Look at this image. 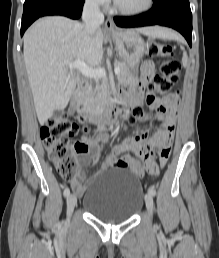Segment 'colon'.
Here are the masks:
<instances>
[{"label":"colon","mask_w":219,"mask_h":258,"mask_svg":"<svg viewBox=\"0 0 219 258\" xmlns=\"http://www.w3.org/2000/svg\"><path fill=\"white\" fill-rule=\"evenodd\" d=\"M148 51L151 56L161 58L162 62L160 73L147 84V91L166 95L180 79V62L174 58L173 48L168 44L151 41ZM149 117L150 114L144 108L137 106L129 117L128 123L140 130L139 122ZM87 131L86 126L72 122L65 115L49 118L40 130L41 139L50 160L54 163L58 173L66 180L74 179L79 167L77 155L80 145L72 139L81 132Z\"/></svg>","instance_id":"1"}]
</instances>
